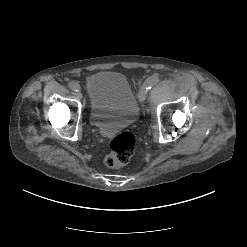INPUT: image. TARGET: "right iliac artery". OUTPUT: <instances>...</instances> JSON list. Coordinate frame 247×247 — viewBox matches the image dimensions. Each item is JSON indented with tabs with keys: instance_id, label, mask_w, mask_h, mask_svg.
Instances as JSON below:
<instances>
[{
	"instance_id": "82829eb1",
	"label": "right iliac artery",
	"mask_w": 247,
	"mask_h": 247,
	"mask_svg": "<svg viewBox=\"0 0 247 247\" xmlns=\"http://www.w3.org/2000/svg\"><path fill=\"white\" fill-rule=\"evenodd\" d=\"M69 88L73 91H77L80 89V85L75 82V81H71L69 84H68Z\"/></svg>"
}]
</instances>
